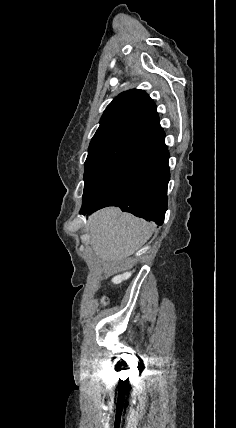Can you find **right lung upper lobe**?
<instances>
[{"mask_svg": "<svg viewBox=\"0 0 236 428\" xmlns=\"http://www.w3.org/2000/svg\"><path fill=\"white\" fill-rule=\"evenodd\" d=\"M156 105L142 90L120 93L106 108L88 156L128 142H144L161 130Z\"/></svg>", "mask_w": 236, "mask_h": 428, "instance_id": "right-lung-upper-lobe-1", "label": "right lung upper lobe"}]
</instances>
